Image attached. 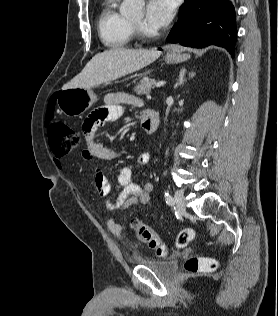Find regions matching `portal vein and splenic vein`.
Returning a JSON list of instances; mask_svg holds the SVG:
<instances>
[{"label": "portal vein and splenic vein", "mask_w": 278, "mask_h": 316, "mask_svg": "<svg viewBox=\"0 0 278 316\" xmlns=\"http://www.w3.org/2000/svg\"><path fill=\"white\" fill-rule=\"evenodd\" d=\"M165 83H166L165 81H160V82H157L155 85L157 88H159V87H163Z\"/></svg>", "instance_id": "18ae733b"}]
</instances>
